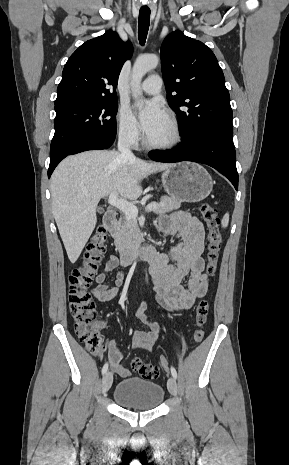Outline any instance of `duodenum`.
<instances>
[{
  "label": "duodenum",
  "instance_id": "obj_1",
  "mask_svg": "<svg viewBox=\"0 0 289 465\" xmlns=\"http://www.w3.org/2000/svg\"><path fill=\"white\" fill-rule=\"evenodd\" d=\"M117 215L112 209L108 210L103 217V224L109 232H114L116 228ZM121 264L129 265L134 261L148 260L150 263H157L160 253L152 245L124 248L120 252Z\"/></svg>",
  "mask_w": 289,
  "mask_h": 465
}]
</instances>
